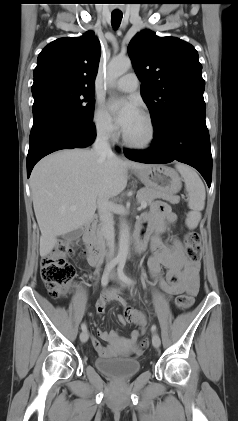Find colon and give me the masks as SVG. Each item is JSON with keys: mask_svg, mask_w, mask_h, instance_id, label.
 I'll return each mask as SVG.
<instances>
[{"mask_svg": "<svg viewBox=\"0 0 238 421\" xmlns=\"http://www.w3.org/2000/svg\"><path fill=\"white\" fill-rule=\"evenodd\" d=\"M185 239L189 259L198 262L202 255L199 235L190 231L186 233ZM69 253H71V248L65 243H60L41 260V278L49 295L53 298L65 296L75 277L74 267L66 260ZM192 302L193 298L187 294L176 298V306L180 310L188 309ZM147 345V340L141 342L142 348Z\"/></svg>", "mask_w": 238, "mask_h": 421, "instance_id": "obj_1", "label": "colon"}]
</instances>
